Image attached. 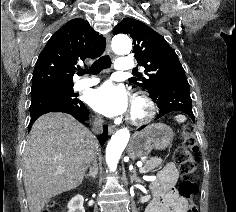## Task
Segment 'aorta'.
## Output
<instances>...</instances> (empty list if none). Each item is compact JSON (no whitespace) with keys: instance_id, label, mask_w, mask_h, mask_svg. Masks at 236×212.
Here are the masks:
<instances>
[{"instance_id":"762f6f07","label":"aorta","mask_w":236,"mask_h":212,"mask_svg":"<svg viewBox=\"0 0 236 212\" xmlns=\"http://www.w3.org/2000/svg\"><path fill=\"white\" fill-rule=\"evenodd\" d=\"M112 48L118 54H127L132 49V42L127 35H116L112 40ZM130 132L121 128L111 137L106 148V163L111 171H115L122 152L128 144Z\"/></svg>"}]
</instances>
